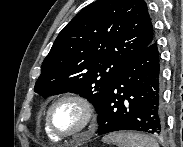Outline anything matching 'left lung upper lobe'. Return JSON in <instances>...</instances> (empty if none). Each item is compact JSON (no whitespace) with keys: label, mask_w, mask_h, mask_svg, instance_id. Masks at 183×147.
Wrapping results in <instances>:
<instances>
[{"label":"left lung upper lobe","mask_w":183,"mask_h":147,"mask_svg":"<svg viewBox=\"0 0 183 147\" xmlns=\"http://www.w3.org/2000/svg\"><path fill=\"white\" fill-rule=\"evenodd\" d=\"M154 41L144 0H97L59 33L41 66L35 92H72L96 111L125 65Z\"/></svg>","instance_id":"5c2ea615"}]
</instances>
